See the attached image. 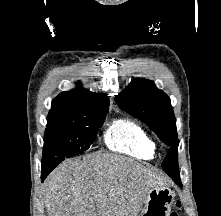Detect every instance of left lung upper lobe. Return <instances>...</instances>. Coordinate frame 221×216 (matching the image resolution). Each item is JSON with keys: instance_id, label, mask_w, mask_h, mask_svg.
Returning <instances> with one entry per match:
<instances>
[{"instance_id": "5c2ea615", "label": "left lung upper lobe", "mask_w": 221, "mask_h": 216, "mask_svg": "<svg viewBox=\"0 0 221 216\" xmlns=\"http://www.w3.org/2000/svg\"><path fill=\"white\" fill-rule=\"evenodd\" d=\"M118 106L146 123L170 149L162 162L163 170L174 180L178 169V138L176 119L170 98L150 80L134 79L119 95Z\"/></svg>"}]
</instances>
